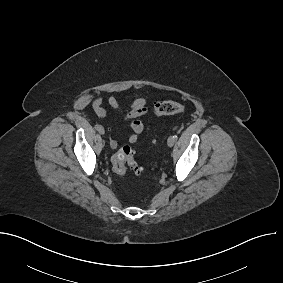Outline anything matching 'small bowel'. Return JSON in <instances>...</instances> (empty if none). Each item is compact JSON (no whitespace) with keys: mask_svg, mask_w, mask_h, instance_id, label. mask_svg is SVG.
<instances>
[{"mask_svg":"<svg viewBox=\"0 0 283 283\" xmlns=\"http://www.w3.org/2000/svg\"><path fill=\"white\" fill-rule=\"evenodd\" d=\"M107 101L111 108L124 114V119L132 130V133L127 137V141L129 143H135L138 139V135L145 129L144 123L139 118L148 112L147 100L145 98H137L127 107H124L120 104L116 95L111 94ZM92 107L99 118L106 117L107 110L103 105L101 96L95 97L92 102ZM110 146L112 148L117 147V141L114 138L110 139Z\"/></svg>","mask_w":283,"mask_h":283,"instance_id":"c3829d8e","label":"small bowel"}]
</instances>
